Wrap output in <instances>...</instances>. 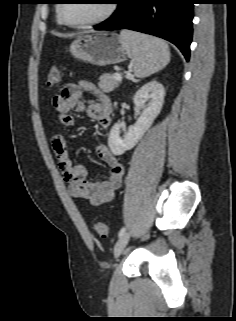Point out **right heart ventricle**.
I'll return each mask as SVG.
<instances>
[{"label": "right heart ventricle", "mask_w": 236, "mask_h": 321, "mask_svg": "<svg viewBox=\"0 0 236 321\" xmlns=\"http://www.w3.org/2000/svg\"><path fill=\"white\" fill-rule=\"evenodd\" d=\"M57 22L59 25H62V22L60 21V19L57 17Z\"/></svg>", "instance_id": "1"}]
</instances>
